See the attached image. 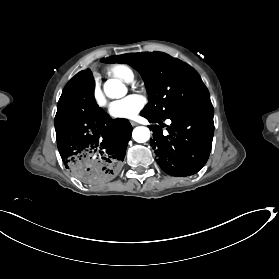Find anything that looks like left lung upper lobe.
Returning a JSON list of instances; mask_svg holds the SVG:
<instances>
[{"mask_svg": "<svg viewBox=\"0 0 279 279\" xmlns=\"http://www.w3.org/2000/svg\"><path fill=\"white\" fill-rule=\"evenodd\" d=\"M101 61L127 63L141 74L149 95V102L141 113L158 120L211 102L198 73L165 53H129Z\"/></svg>", "mask_w": 279, "mask_h": 279, "instance_id": "left-lung-upper-lobe-1", "label": "left lung upper lobe"}]
</instances>
